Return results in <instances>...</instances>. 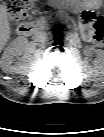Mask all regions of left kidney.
I'll list each match as a JSON object with an SVG mask.
<instances>
[{
	"label": "left kidney",
	"mask_w": 104,
	"mask_h": 137,
	"mask_svg": "<svg viewBox=\"0 0 104 137\" xmlns=\"http://www.w3.org/2000/svg\"><path fill=\"white\" fill-rule=\"evenodd\" d=\"M103 63H104L103 51H102V50H99V51H98V57H97V59L95 60L96 68H98L99 70H102V69H103Z\"/></svg>",
	"instance_id": "5707ae66"
}]
</instances>
